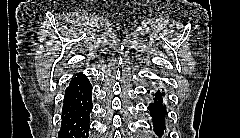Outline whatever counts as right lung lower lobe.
I'll list each match as a JSON object with an SVG mask.
<instances>
[{
    "label": "right lung lower lobe",
    "mask_w": 240,
    "mask_h": 138,
    "mask_svg": "<svg viewBox=\"0 0 240 138\" xmlns=\"http://www.w3.org/2000/svg\"><path fill=\"white\" fill-rule=\"evenodd\" d=\"M92 86L85 75L70 81L66 88L59 138H88Z\"/></svg>",
    "instance_id": "right-lung-lower-lobe-1"
}]
</instances>
